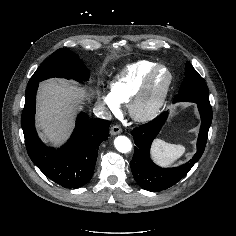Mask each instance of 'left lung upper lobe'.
<instances>
[{
  "label": "left lung upper lobe",
  "mask_w": 236,
  "mask_h": 236,
  "mask_svg": "<svg viewBox=\"0 0 236 236\" xmlns=\"http://www.w3.org/2000/svg\"><path fill=\"white\" fill-rule=\"evenodd\" d=\"M175 101H189L210 105L209 93L204 79L187 62L185 68V78L181 84L179 94L176 95Z\"/></svg>",
  "instance_id": "1"
}]
</instances>
